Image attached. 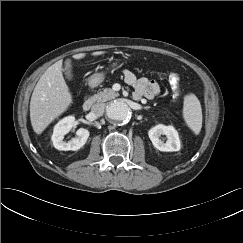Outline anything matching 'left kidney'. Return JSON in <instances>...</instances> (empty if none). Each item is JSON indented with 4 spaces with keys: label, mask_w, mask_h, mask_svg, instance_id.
<instances>
[{
    "label": "left kidney",
    "mask_w": 243,
    "mask_h": 243,
    "mask_svg": "<svg viewBox=\"0 0 243 243\" xmlns=\"http://www.w3.org/2000/svg\"><path fill=\"white\" fill-rule=\"evenodd\" d=\"M148 135L154 147L160 151L172 152L180 150L179 135L173 126L156 125L149 130ZM161 135L166 136V142L161 140Z\"/></svg>",
    "instance_id": "obj_1"
}]
</instances>
